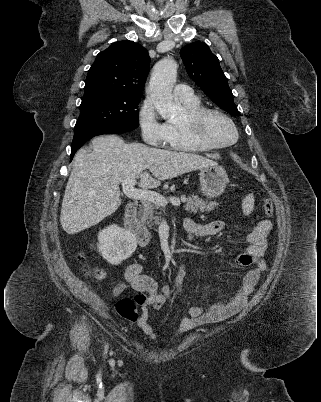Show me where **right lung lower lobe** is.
Segmentation results:
<instances>
[{
    "mask_svg": "<svg viewBox=\"0 0 321 402\" xmlns=\"http://www.w3.org/2000/svg\"><path fill=\"white\" fill-rule=\"evenodd\" d=\"M133 129L134 128L127 125H109L75 129L74 138L71 146L70 160L73 159L75 152L94 136L110 133H121L131 131Z\"/></svg>",
    "mask_w": 321,
    "mask_h": 402,
    "instance_id": "1",
    "label": "right lung lower lobe"
}]
</instances>
